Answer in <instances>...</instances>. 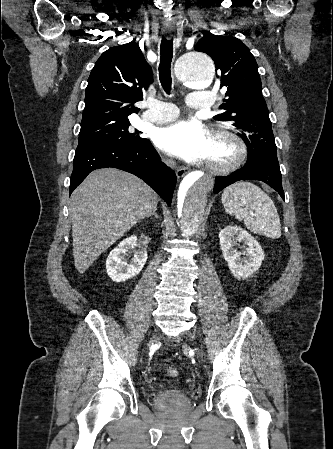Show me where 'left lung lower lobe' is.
Segmentation results:
<instances>
[{
	"label": "left lung lower lobe",
	"instance_id": "left-lung-lower-lobe-1",
	"mask_svg": "<svg viewBox=\"0 0 333 449\" xmlns=\"http://www.w3.org/2000/svg\"><path fill=\"white\" fill-rule=\"evenodd\" d=\"M239 180H260L275 189L284 199L280 167L278 164H245V166L231 175L216 177L214 193Z\"/></svg>",
	"mask_w": 333,
	"mask_h": 449
}]
</instances>
